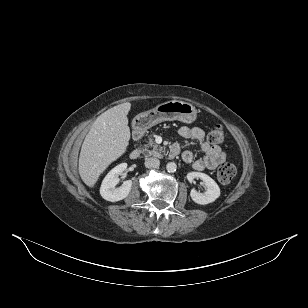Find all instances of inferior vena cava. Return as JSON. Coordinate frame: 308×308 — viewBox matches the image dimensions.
Segmentation results:
<instances>
[{
    "label": "inferior vena cava",
    "mask_w": 308,
    "mask_h": 308,
    "mask_svg": "<svg viewBox=\"0 0 308 308\" xmlns=\"http://www.w3.org/2000/svg\"><path fill=\"white\" fill-rule=\"evenodd\" d=\"M160 165L159 159L155 157L146 158L145 167L146 168H157Z\"/></svg>",
    "instance_id": "1"
}]
</instances>
